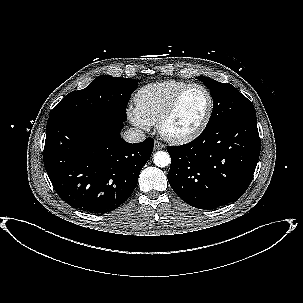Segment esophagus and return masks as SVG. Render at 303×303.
Returning a JSON list of instances; mask_svg holds the SVG:
<instances>
[{
  "label": "esophagus",
  "instance_id": "esophagus-1",
  "mask_svg": "<svg viewBox=\"0 0 303 303\" xmlns=\"http://www.w3.org/2000/svg\"><path fill=\"white\" fill-rule=\"evenodd\" d=\"M165 145L159 141L154 142V150H161L164 149Z\"/></svg>",
  "mask_w": 303,
  "mask_h": 303
}]
</instances>
